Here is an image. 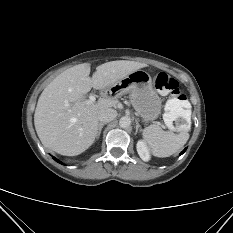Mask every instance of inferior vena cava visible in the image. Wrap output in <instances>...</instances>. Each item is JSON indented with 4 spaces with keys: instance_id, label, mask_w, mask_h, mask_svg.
Here are the masks:
<instances>
[{
    "instance_id": "602c4592",
    "label": "inferior vena cava",
    "mask_w": 233,
    "mask_h": 233,
    "mask_svg": "<svg viewBox=\"0 0 233 233\" xmlns=\"http://www.w3.org/2000/svg\"><path fill=\"white\" fill-rule=\"evenodd\" d=\"M117 116L116 110L109 108L101 110L98 114V119L101 123H108L112 121Z\"/></svg>"
}]
</instances>
